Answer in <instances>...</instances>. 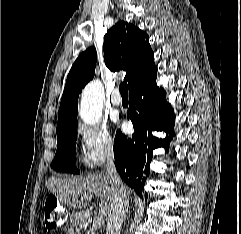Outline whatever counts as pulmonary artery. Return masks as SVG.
<instances>
[{"mask_svg": "<svg viewBox=\"0 0 241 234\" xmlns=\"http://www.w3.org/2000/svg\"><path fill=\"white\" fill-rule=\"evenodd\" d=\"M110 101H111V104L115 107L121 106L122 99L117 89L113 91Z\"/></svg>", "mask_w": 241, "mask_h": 234, "instance_id": "e3ab8cb5", "label": "pulmonary artery"}]
</instances>
